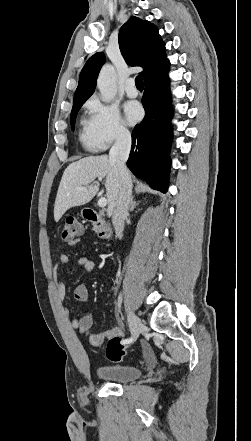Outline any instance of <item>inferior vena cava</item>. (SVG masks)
I'll list each match as a JSON object with an SVG mask.
<instances>
[{"label":"inferior vena cava","mask_w":251,"mask_h":441,"mask_svg":"<svg viewBox=\"0 0 251 441\" xmlns=\"http://www.w3.org/2000/svg\"><path fill=\"white\" fill-rule=\"evenodd\" d=\"M131 149V134L126 129L118 131L116 141L109 151V158L115 163L119 177V193L112 211V224L116 237L123 236L124 222L128 216L131 202L132 181L126 167V161Z\"/></svg>","instance_id":"obj_1"}]
</instances>
